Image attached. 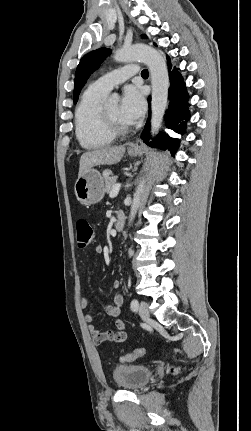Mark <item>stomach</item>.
<instances>
[{
	"mask_svg": "<svg viewBox=\"0 0 251 431\" xmlns=\"http://www.w3.org/2000/svg\"><path fill=\"white\" fill-rule=\"evenodd\" d=\"M128 154L132 157L143 154V149H129ZM77 200L83 204L93 205L102 200L105 194L104 177L94 168H90L83 176L78 177L74 185Z\"/></svg>",
	"mask_w": 251,
	"mask_h": 431,
	"instance_id": "1",
	"label": "stomach"
}]
</instances>
